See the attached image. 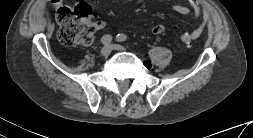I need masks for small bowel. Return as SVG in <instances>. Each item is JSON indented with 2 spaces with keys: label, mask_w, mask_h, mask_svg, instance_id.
<instances>
[{
  "label": "small bowel",
  "mask_w": 253,
  "mask_h": 138,
  "mask_svg": "<svg viewBox=\"0 0 253 138\" xmlns=\"http://www.w3.org/2000/svg\"><path fill=\"white\" fill-rule=\"evenodd\" d=\"M53 5H60L62 4L65 0H49ZM167 1V0H163ZM173 10L176 11L179 14L187 15L190 12H194L196 17H199L201 14H203V21L199 28L194 31V33H197L198 35L204 30L205 26L208 23L209 20V13L207 10H201L198 3L195 0H191L188 4V6L181 5V4H174L173 5ZM95 26V30H102L105 28L106 24L103 21H95L93 22ZM166 27L164 24L158 23L152 26L151 28V33L154 35H160L164 33Z\"/></svg>",
  "instance_id": "small-bowel-1"
}]
</instances>
